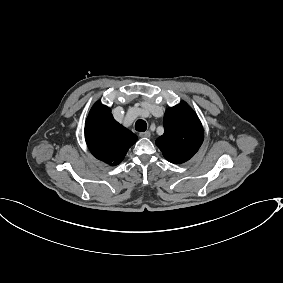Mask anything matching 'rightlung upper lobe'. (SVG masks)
<instances>
[{
	"label": "right lung upper lobe",
	"mask_w": 283,
	"mask_h": 283,
	"mask_svg": "<svg viewBox=\"0 0 283 283\" xmlns=\"http://www.w3.org/2000/svg\"><path fill=\"white\" fill-rule=\"evenodd\" d=\"M85 139L97 159L115 166L124 159L137 136L115 121L107 106L97 102L86 120Z\"/></svg>",
	"instance_id": "right-lung-upper-lobe-1"
}]
</instances>
